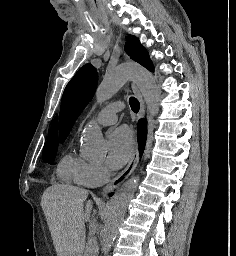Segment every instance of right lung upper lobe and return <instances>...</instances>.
Segmentation results:
<instances>
[{
  "instance_id": "obj_1",
  "label": "right lung upper lobe",
  "mask_w": 236,
  "mask_h": 256,
  "mask_svg": "<svg viewBox=\"0 0 236 256\" xmlns=\"http://www.w3.org/2000/svg\"><path fill=\"white\" fill-rule=\"evenodd\" d=\"M47 142H58V136H57V117L53 121V124L51 126Z\"/></svg>"
}]
</instances>
